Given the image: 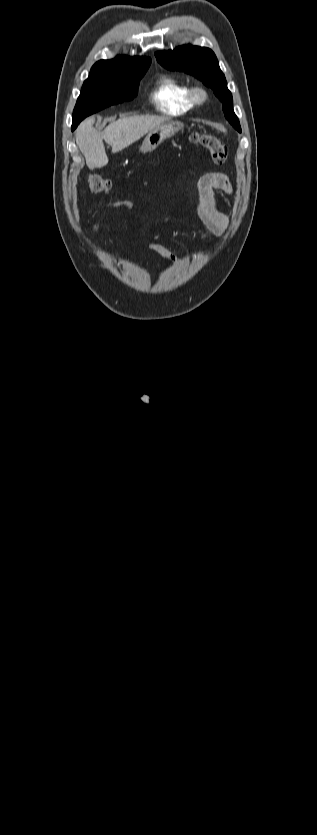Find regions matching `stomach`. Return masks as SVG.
Instances as JSON below:
<instances>
[{"instance_id": "obj_1", "label": "stomach", "mask_w": 317, "mask_h": 835, "mask_svg": "<svg viewBox=\"0 0 317 835\" xmlns=\"http://www.w3.org/2000/svg\"><path fill=\"white\" fill-rule=\"evenodd\" d=\"M183 123L174 120H167L151 129L143 141L141 152L147 153L155 150L165 139L175 135L183 128Z\"/></svg>"}]
</instances>
